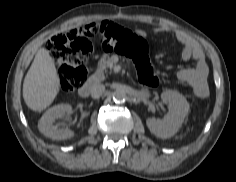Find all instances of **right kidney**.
<instances>
[{"label": "right kidney", "instance_id": "right-kidney-1", "mask_svg": "<svg viewBox=\"0 0 236 182\" xmlns=\"http://www.w3.org/2000/svg\"><path fill=\"white\" fill-rule=\"evenodd\" d=\"M72 107L69 104H59L48 109L41 117L38 127L39 131L53 140H65L74 136V132L68 128H59L53 125V122L58 117L70 115Z\"/></svg>", "mask_w": 236, "mask_h": 182}]
</instances>
